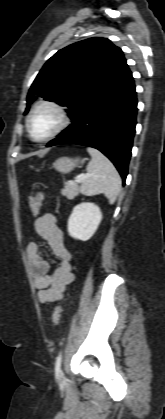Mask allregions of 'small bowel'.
I'll return each instance as SVG.
<instances>
[{
    "instance_id": "c3829d8e",
    "label": "small bowel",
    "mask_w": 165,
    "mask_h": 419,
    "mask_svg": "<svg viewBox=\"0 0 165 419\" xmlns=\"http://www.w3.org/2000/svg\"><path fill=\"white\" fill-rule=\"evenodd\" d=\"M35 231L48 243L53 254L58 258V263L50 274V264L43 258L44 250L40 244L33 241L27 246V257L38 300L42 304H50L61 300L75 280L71 264L72 255L65 246L63 232L54 214L45 213L39 216L35 220Z\"/></svg>"
}]
</instances>
